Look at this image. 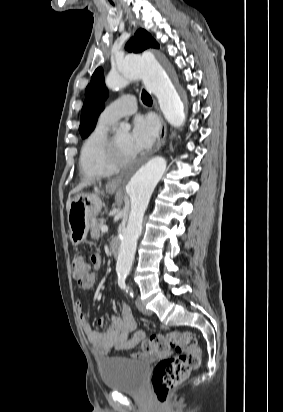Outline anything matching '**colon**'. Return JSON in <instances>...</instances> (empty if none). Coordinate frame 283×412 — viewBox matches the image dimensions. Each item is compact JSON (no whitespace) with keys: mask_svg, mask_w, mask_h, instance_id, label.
Segmentation results:
<instances>
[{"mask_svg":"<svg viewBox=\"0 0 283 412\" xmlns=\"http://www.w3.org/2000/svg\"><path fill=\"white\" fill-rule=\"evenodd\" d=\"M98 260L94 255L86 261L76 255L71 261L74 279L81 283L94 270ZM175 349L177 355L163 358L155 367L151 384L156 401L164 404L172 389L180 385L201 362V350L197 345L196 335L191 331H171L165 335H153L142 342L145 354H163Z\"/></svg>","mask_w":283,"mask_h":412,"instance_id":"1","label":"colon"}]
</instances>
